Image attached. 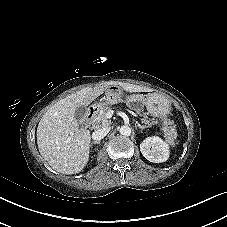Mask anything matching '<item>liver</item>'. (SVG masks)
<instances>
[{
	"mask_svg": "<svg viewBox=\"0 0 227 227\" xmlns=\"http://www.w3.org/2000/svg\"><path fill=\"white\" fill-rule=\"evenodd\" d=\"M120 86L130 93L147 91L133 84L124 83ZM90 93V89H83L61 99L46 111L38 124V150L49 166L59 173L77 174L88 163L90 132L86 128H79L75 112L88 102Z\"/></svg>",
	"mask_w": 227,
	"mask_h": 227,
	"instance_id": "obj_1",
	"label": "liver"
}]
</instances>
